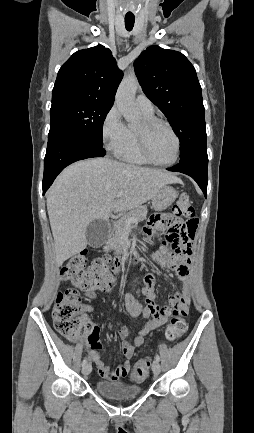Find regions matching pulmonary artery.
Wrapping results in <instances>:
<instances>
[{
  "label": "pulmonary artery",
  "instance_id": "obj_1",
  "mask_svg": "<svg viewBox=\"0 0 254 433\" xmlns=\"http://www.w3.org/2000/svg\"><path fill=\"white\" fill-rule=\"evenodd\" d=\"M137 108L144 114H153L154 106L151 100L145 95H138L135 99Z\"/></svg>",
  "mask_w": 254,
  "mask_h": 433
}]
</instances>
